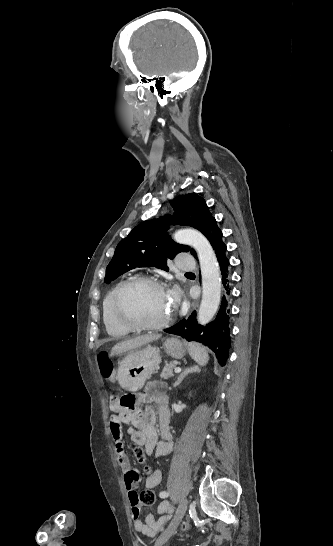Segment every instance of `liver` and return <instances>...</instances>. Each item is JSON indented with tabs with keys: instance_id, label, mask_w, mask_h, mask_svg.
<instances>
[{
	"instance_id": "obj_1",
	"label": "liver",
	"mask_w": 333,
	"mask_h": 546,
	"mask_svg": "<svg viewBox=\"0 0 333 546\" xmlns=\"http://www.w3.org/2000/svg\"><path fill=\"white\" fill-rule=\"evenodd\" d=\"M160 337L161 335L159 334L142 335L133 339L122 341L112 348L109 356H116L126 352H131L145 344L158 340Z\"/></svg>"
}]
</instances>
